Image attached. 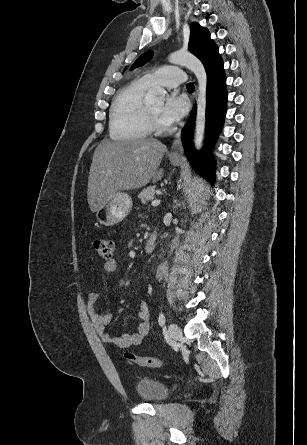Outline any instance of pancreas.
<instances>
[{"instance_id": "pancreas-1", "label": "pancreas", "mask_w": 307, "mask_h": 445, "mask_svg": "<svg viewBox=\"0 0 307 445\" xmlns=\"http://www.w3.org/2000/svg\"><path fill=\"white\" fill-rule=\"evenodd\" d=\"M155 194V186H147V188H143L141 192L138 194V198H141V202H148V200H152Z\"/></svg>"}]
</instances>
